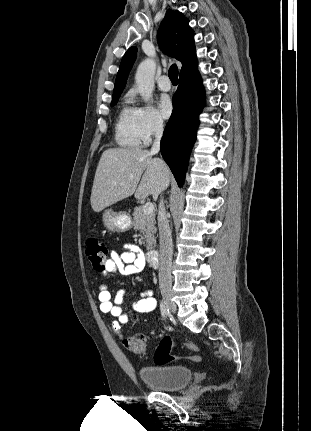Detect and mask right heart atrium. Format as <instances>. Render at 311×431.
<instances>
[{"label":"right heart atrium","mask_w":311,"mask_h":431,"mask_svg":"<svg viewBox=\"0 0 311 431\" xmlns=\"http://www.w3.org/2000/svg\"><path fill=\"white\" fill-rule=\"evenodd\" d=\"M142 129L143 143L148 144L154 138L160 137L165 130V121L162 115L153 106H141L136 108Z\"/></svg>","instance_id":"d8ad5b80"}]
</instances>
